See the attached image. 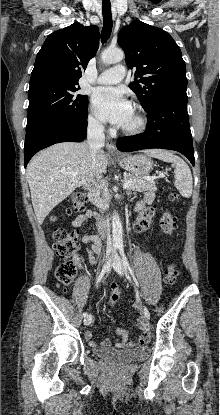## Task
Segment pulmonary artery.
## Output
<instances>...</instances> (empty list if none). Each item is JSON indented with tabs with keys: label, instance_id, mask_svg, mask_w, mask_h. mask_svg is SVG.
Segmentation results:
<instances>
[{
	"label": "pulmonary artery",
	"instance_id": "obj_1",
	"mask_svg": "<svg viewBox=\"0 0 220 415\" xmlns=\"http://www.w3.org/2000/svg\"><path fill=\"white\" fill-rule=\"evenodd\" d=\"M125 76V68L123 65H116L107 69L99 75L97 83L99 84H116L122 81Z\"/></svg>",
	"mask_w": 220,
	"mask_h": 415
}]
</instances>
